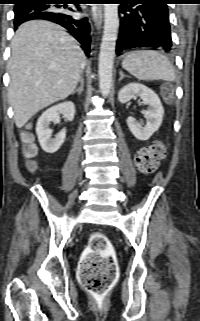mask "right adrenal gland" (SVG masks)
Masks as SVG:
<instances>
[{"instance_id": "2a0ac1e0", "label": "right adrenal gland", "mask_w": 200, "mask_h": 321, "mask_svg": "<svg viewBox=\"0 0 200 321\" xmlns=\"http://www.w3.org/2000/svg\"><path fill=\"white\" fill-rule=\"evenodd\" d=\"M84 91V81L82 80L80 83V86L78 89H76L75 91L72 92V94L74 93H78L79 95H81V93Z\"/></svg>"}]
</instances>
